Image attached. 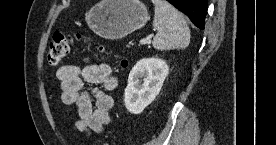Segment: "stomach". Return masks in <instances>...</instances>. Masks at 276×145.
Here are the masks:
<instances>
[{
    "label": "stomach",
    "mask_w": 276,
    "mask_h": 145,
    "mask_svg": "<svg viewBox=\"0 0 276 145\" xmlns=\"http://www.w3.org/2000/svg\"><path fill=\"white\" fill-rule=\"evenodd\" d=\"M85 20L98 36L117 40L143 27L149 15L139 0H101L86 13Z\"/></svg>",
    "instance_id": "0dacf381"
}]
</instances>
